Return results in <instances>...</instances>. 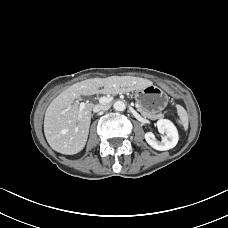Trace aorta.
I'll return each instance as SVG.
<instances>
[{"instance_id":"aorta-1","label":"aorta","mask_w":228,"mask_h":228,"mask_svg":"<svg viewBox=\"0 0 228 228\" xmlns=\"http://www.w3.org/2000/svg\"><path fill=\"white\" fill-rule=\"evenodd\" d=\"M114 109L117 111H124L126 108V105L123 101H116L113 105Z\"/></svg>"}]
</instances>
